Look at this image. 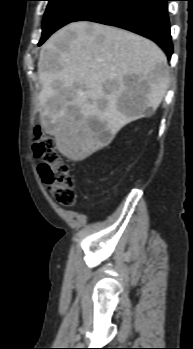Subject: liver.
<instances>
[{"instance_id":"liver-1","label":"liver","mask_w":193,"mask_h":349,"mask_svg":"<svg viewBox=\"0 0 193 349\" xmlns=\"http://www.w3.org/2000/svg\"><path fill=\"white\" fill-rule=\"evenodd\" d=\"M38 74L41 126L73 161L108 146L126 124L155 112L168 87L167 58L155 43L89 22L70 23L48 39Z\"/></svg>"}]
</instances>
